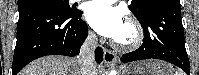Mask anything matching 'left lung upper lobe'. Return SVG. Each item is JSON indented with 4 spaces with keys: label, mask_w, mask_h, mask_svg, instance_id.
Returning a JSON list of instances; mask_svg holds the SVG:
<instances>
[{
    "label": "left lung upper lobe",
    "mask_w": 199,
    "mask_h": 75,
    "mask_svg": "<svg viewBox=\"0 0 199 75\" xmlns=\"http://www.w3.org/2000/svg\"><path fill=\"white\" fill-rule=\"evenodd\" d=\"M168 0H132L128 6L138 20H143L157 4Z\"/></svg>",
    "instance_id": "left-lung-upper-lobe-1"
}]
</instances>
